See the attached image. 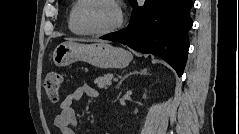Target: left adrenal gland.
Returning a JSON list of instances; mask_svg holds the SVG:
<instances>
[{"mask_svg":"<svg viewBox=\"0 0 239 134\" xmlns=\"http://www.w3.org/2000/svg\"><path fill=\"white\" fill-rule=\"evenodd\" d=\"M132 74L146 75V74H148V72H147V69L144 68V69H142V70H140V71H134V72H132V73H130V74H128V75H125V76L121 79V81L119 82L117 88H119L120 85L122 84V82H123L128 76H130V75H132Z\"/></svg>","mask_w":239,"mask_h":134,"instance_id":"obj_1","label":"left adrenal gland"}]
</instances>
